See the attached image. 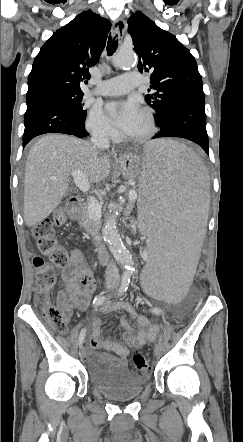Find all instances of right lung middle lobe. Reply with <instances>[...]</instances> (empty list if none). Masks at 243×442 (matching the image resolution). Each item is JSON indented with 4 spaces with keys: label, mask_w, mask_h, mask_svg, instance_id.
<instances>
[{
    "label": "right lung middle lobe",
    "mask_w": 243,
    "mask_h": 442,
    "mask_svg": "<svg viewBox=\"0 0 243 442\" xmlns=\"http://www.w3.org/2000/svg\"><path fill=\"white\" fill-rule=\"evenodd\" d=\"M45 93L53 94L55 96L62 98L72 107L73 111L80 119L85 120L87 113L86 110L83 109L84 105V103H82V97L84 95L83 92L53 89Z\"/></svg>",
    "instance_id": "dd1d6c3e"
}]
</instances>
